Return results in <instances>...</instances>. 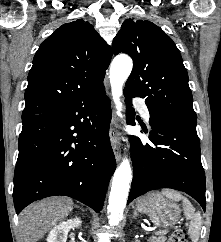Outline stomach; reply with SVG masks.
<instances>
[{"mask_svg": "<svg viewBox=\"0 0 221 242\" xmlns=\"http://www.w3.org/2000/svg\"><path fill=\"white\" fill-rule=\"evenodd\" d=\"M136 209L150 216L152 223L163 227L173 226L180 218V207L159 193H151L137 201Z\"/></svg>", "mask_w": 221, "mask_h": 242, "instance_id": "obj_1", "label": "stomach"}]
</instances>
